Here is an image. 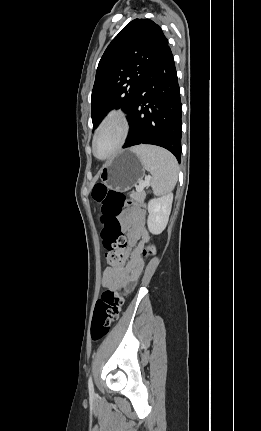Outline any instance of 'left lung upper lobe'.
I'll return each instance as SVG.
<instances>
[{
  "label": "left lung upper lobe",
  "mask_w": 261,
  "mask_h": 431,
  "mask_svg": "<svg viewBox=\"0 0 261 431\" xmlns=\"http://www.w3.org/2000/svg\"><path fill=\"white\" fill-rule=\"evenodd\" d=\"M167 46L161 28L150 19H135L120 31L96 71L91 101L93 128L114 108H122L130 116L146 74Z\"/></svg>",
  "instance_id": "left-lung-upper-lobe-1"
}]
</instances>
